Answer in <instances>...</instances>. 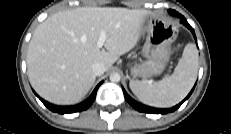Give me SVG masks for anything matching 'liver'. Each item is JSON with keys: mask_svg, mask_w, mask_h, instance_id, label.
<instances>
[{"mask_svg": "<svg viewBox=\"0 0 231 134\" xmlns=\"http://www.w3.org/2000/svg\"><path fill=\"white\" fill-rule=\"evenodd\" d=\"M146 10L117 7H81L49 16L35 30L27 52L31 85L45 100L70 105L93 86L92 65L106 70L139 41ZM106 34L104 49L97 46Z\"/></svg>", "mask_w": 231, "mask_h": 134, "instance_id": "obj_1", "label": "liver"}]
</instances>
